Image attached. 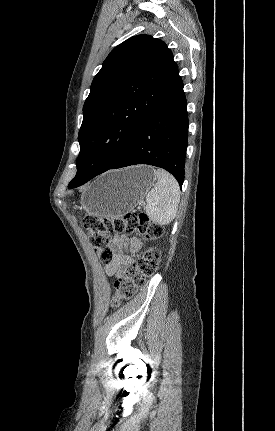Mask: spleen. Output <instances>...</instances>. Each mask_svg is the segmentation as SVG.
<instances>
[{
  "label": "spleen",
  "instance_id": "1",
  "mask_svg": "<svg viewBox=\"0 0 275 431\" xmlns=\"http://www.w3.org/2000/svg\"><path fill=\"white\" fill-rule=\"evenodd\" d=\"M157 183L146 194L147 216L159 225L169 224L176 216L180 202V188L176 179L167 171H155Z\"/></svg>",
  "mask_w": 275,
  "mask_h": 431
}]
</instances>
